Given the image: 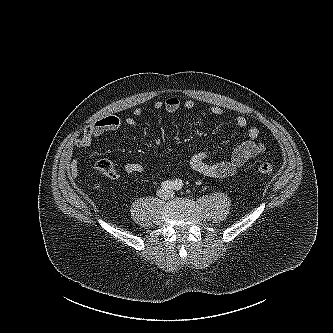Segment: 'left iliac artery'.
Returning a JSON list of instances; mask_svg holds the SVG:
<instances>
[{"mask_svg": "<svg viewBox=\"0 0 333 333\" xmlns=\"http://www.w3.org/2000/svg\"><path fill=\"white\" fill-rule=\"evenodd\" d=\"M183 187V182L181 179H176V181L174 182V189L175 190H180Z\"/></svg>", "mask_w": 333, "mask_h": 333, "instance_id": "44dca946", "label": "left iliac artery"}]
</instances>
